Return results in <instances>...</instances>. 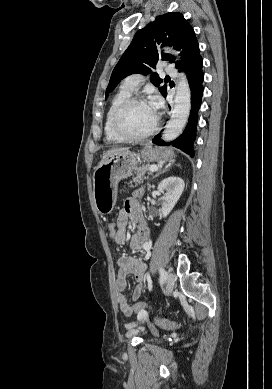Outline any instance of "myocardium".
Returning a JSON list of instances; mask_svg holds the SVG:
<instances>
[{
    "mask_svg": "<svg viewBox=\"0 0 272 389\" xmlns=\"http://www.w3.org/2000/svg\"><path fill=\"white\" fill-rule=\"evenodd\" d=\"M135 104H147V102L138 96H130L117 108L113 116V129L115 133L119 137L127 141L144 140L153 135L158 129V118L156 117L152 127L143 134H131L125 130V128L123 127V117L126 111Z\"/></svg>",
    "mask_w": 272,
    "mask_h": 389,
    "instance_id": "obj_1",
    "label": "myocardium"
}]
</instances>
